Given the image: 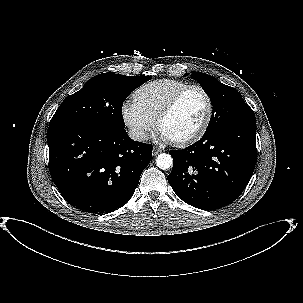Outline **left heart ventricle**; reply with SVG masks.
I'll list each match as a JSON object with an SVG mask.
<instances>
[{
	"label": "left heart ventricle",
	"mask_w": 303,
	"mask_h": 303,
	"mask_svg": "<svg viewBox=\"0 0 303 303\" xmlns=\"http://www.w3.org/2000/svg\"><path fill=\"white\" fill-rule=\"evenodd\" d=\"M207 104L198 90L184 95L174 112L164 120L161 130L172 140H180L194 133L206 114Z\"/></svg>",
	"instance_id": "b2bd125f"
}]
</instances>
